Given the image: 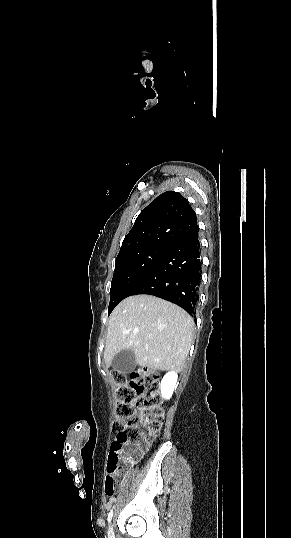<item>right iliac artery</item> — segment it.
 <instances>
[{
	"instance_id": "right-iliac-artery-1",
	"label": "right iliac artery",
	"mask_w": 291,
	"mask_h": 538,
	"mask_svg": "<svg viewBox=\"0 0 291 538\" xmlns=\"http://www.w3.org/2000/svg\"><path fill=\"white\" fill-rule=\"evenodd\" d=\"M112 516H113V510H110V512H109V514H108V522L111 521Z\"/></svg>"
}]
</instances>
